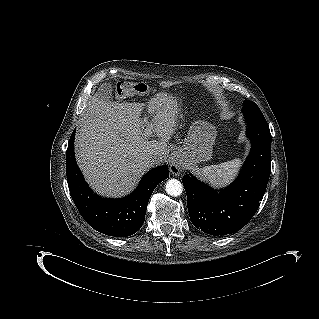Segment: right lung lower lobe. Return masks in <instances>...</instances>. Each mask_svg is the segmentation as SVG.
<instances>
[{"label": "right lung lower lobe", "instance_id": "1", "mask_svg": "<svg viewBox=\"0 0 319 319\" xmlns=\"http://www.w3.org/2000/svg\"><path fill=\"white\" fill-rule=\"evenodd\" d=\"M73 131L66 153V174L71 197L85 221L95 230L115 237L136 233L143 225L149 198L156 186L169 177L163 165L145 174L138 187L121 199L96 195L85 182L74 154Z\"/></svg>", "mask_w": 319, "mask_h": 319}]
</instances>
